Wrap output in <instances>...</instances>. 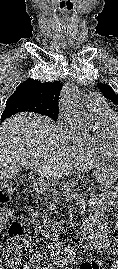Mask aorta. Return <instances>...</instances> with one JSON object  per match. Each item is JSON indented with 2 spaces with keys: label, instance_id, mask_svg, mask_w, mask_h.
I'll return each mask as SVG.
<instances>
[{
  "label": "aorta",
  "instance_id": "762f6f07",
  "mask_svg": "<svg viewBox=\"0 0 118 269\" xmlns=\"http://www.w3.org/2000/svg\"><path fill=\"white\" fill-rule=\"evenodd\" d=\"M61 106L64 111L78 119L84 127H93L94 124L89 119L75 85L69 84L64 88L61 98Z\"/></svg>",
  "mask_w": 118,
  "mask_h": 269
}]
</instances>
